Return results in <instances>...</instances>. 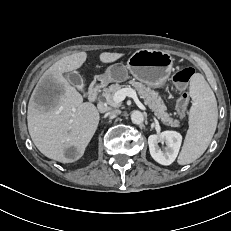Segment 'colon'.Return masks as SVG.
I'll return each mask as SVG.
<instances>
[{
    "mask_svg": "<svg viewBox=\"0 0 231 231\" xmlns=\"http://www.w3.org/2000/svg\"><path fill=\"white\" fill-rule=\"evenodd\" d=\"M194 74V69L190 67L182 68L177 71L173 76V81L176 87L182 91L177 101V111L180 116H184L189 105V95L185 91L188 82Z\"/></svg>",
    "mask_w": 231,
    "mask_h": 231,
    "instance_id": "colon-1",
    "label": "colon"
}]
</instances>
